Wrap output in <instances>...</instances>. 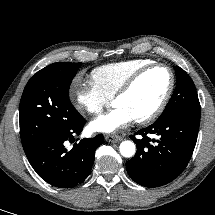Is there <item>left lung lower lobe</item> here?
I'll list each match as a JSON object with an SVG mask.
<instances>
[{"mask_svg":"<svg viewBox=\"0 0 215 215\" xmlns=\"http://www.w3.org/2000/svg\"><path fill=\"white\" fill-rule=\"evenodd\" d=\"M200 118L172 115L130 135L137 145L135 156L126 162L129 176L145 187L165 185L187 166L196 145ZM153 134L154 139L148 137Z\"/></svg>","mask_w":215,"mask_h":215,"instance_id":"1","label":"left lung lower lobe"}]
</instances>
